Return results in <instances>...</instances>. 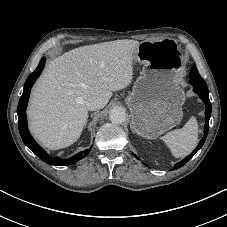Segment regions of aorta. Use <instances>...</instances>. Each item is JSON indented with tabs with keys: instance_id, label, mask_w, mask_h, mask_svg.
<instances>
[{
	"instance_id": "762f6f07",
	"label": "aorta",
	"mask_w": 227,
	"mask_h": 227,
	"mask_svg": "<svg viewBox=\"0 0 227 227\" xmlns=\"http://www.w3.org/2000/svg\"><path fill=\"white\" fill-rule=\"evenodd\" d=\"M109 119L112 123L121 124L126 120V111L122 107H114L110 110Z\"/></svg>"
}]
</instances>
